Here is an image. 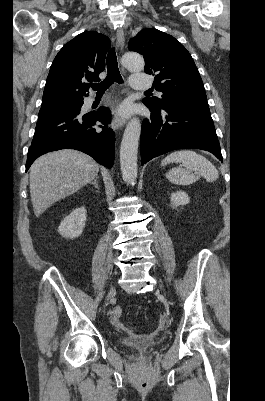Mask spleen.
<instances>
[{"label":"spleen","mask_w":265,"mask_h":401,"mask_svg":"<svg viewBox=\"0 0 265 401\" xmlns=\"http://www.w3.org/2000/svg\"><path fill=\"white\" fill-rule=\"evenodd\" d=\"M169 162H182L181 166L172 168L166 172V178L172 184H193L200 176H204L208 182H213L218 178V170L214 164L207 160L202 154H197L194 150H175L168 156H165L161 162V166H166ZM185 166V168H182Z\"/></svg>","instance_id":"1"}]
</instances>
